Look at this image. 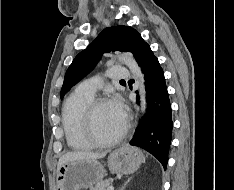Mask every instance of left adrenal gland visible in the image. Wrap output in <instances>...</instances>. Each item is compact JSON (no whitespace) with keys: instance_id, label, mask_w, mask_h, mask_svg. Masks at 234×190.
<instances>
[{"instance_id":"left-adrenal-gland-1","label":"left adrenal gland","mask_w":234,"mask_h":190,"mask_svg":"<svg viewBox=\"0 0 234 190\" xmlns=\"http://www.w3.org/2000/svg\"><path fill=\"white\" fill-rule=\"evenodd\" d=\"M130 179H128L120 188V190H124V188L126 187V185L129 183Z\"/></svg>"}]
</instances>
